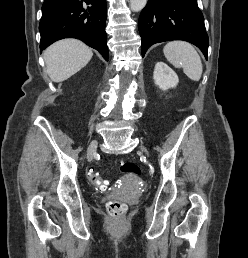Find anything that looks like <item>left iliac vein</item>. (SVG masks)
<instances>
[{
	"mask_svg": "<svg viewBox=\"0 0 248 258\" xmlns=\"http://www.w3.org/2000/svg\"><path fill=\"white\" fill-rule=\"evenodd\" d=\"M140 149L145 153V154H149L147 149L144 146H140Z\"/></svg>",
	"mask_w": 248,
	"mask_h": 258,
	"instance_id": "left-iliac-vein-1",
	"label": "left iliac vein"
}]
</instances>
